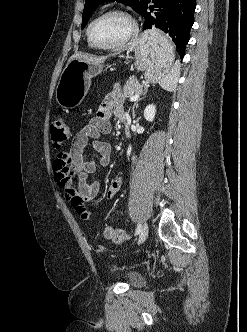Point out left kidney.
Masks as SVG:
<instances>
[{
    "mask_svg": "<svg viewBox=\"0 0 247 332\" xmlns=\"http://www.w3.org/2000/svg\"><path fill=\"white\" fill-rule=\"evenodd\" d=\"M155 114H156L155 105L150 104V105L146 106V108L144 110V117L147 121L152 122L155 118Z\"/></svg>",
    "mask_w": 247,
    "mask_h": 332,
    "instance_id": "left-kidney-1",
    "label": "left kidney"
}]
</instances>
